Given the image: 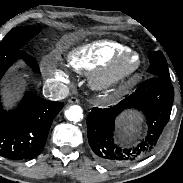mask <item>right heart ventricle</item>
I'll use <instances>...</instances> for the list:
<instances>
[{"label":"right heart ventricle","instance_id":"e07e8e85","mask_svg":"<svg viewBox=\"0 0 183 183\" xmlns=\"http://www.w3.org/2000/svg\"><path fill=\"white\" fill-rule=\"evenodd\" d=\"M129 48L111 40H98L78 46L67 56V65L77 73H89L104 66L114 55Z\"/></svg>","mask_w":183,"mask_h":183}]
</instances>
